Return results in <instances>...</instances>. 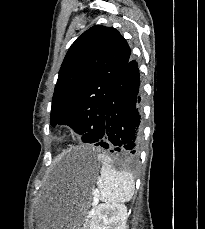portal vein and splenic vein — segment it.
<instances>
[{
	"instance_id": "portal-vein-and-splenic-vein-1",
	"label": "portal vein and splenic vein",
	"mask_w": 205,
	"mask_h": 229,
	"mask_svg": "<svg viewBox=\"0 0 205 229\" xmlns=\"http://www.w3.org/2000/svg\"><path fill=\"white\" fill-rule=\"evenodd\" d=\"M97 203H98V199L95 197V198L93 199V208H92L91 211L89 212V217H90L91 215H93V213H94V206H95Z\"/></svg>"
}]
</instances>
